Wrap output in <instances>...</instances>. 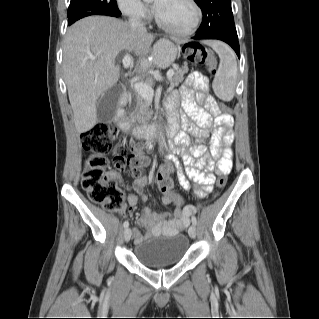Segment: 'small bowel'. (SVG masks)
<instances>
[{
  "mask_svg": "<svg viewBox=\"0 0 319 319\" xmlns=\"http://www.w3.org/2000/svg\"><path fill=\"white\" fill-rule=\"evenodd\" d=\"M180 95L185 113L181 116L178 113V95L169 98L167 110L170 117H175L180 122L182 130L175 136L170 148L171 153L167 156V162L162 166L155 183L159 186V178L162 176L169 179L170 172L176 169L180 186L184 190L192 189L195 197L200 199L211 193L217 175H227L231 171L234 118L230 113L218 112L214 115L210 112V104L214 101L209 95L206 79L198 72L189 74L180 86ZM207 139L208 149L204 145ZM208 151L214 161L207 163ZM179 153L186 163L185 170L181 167ZM213 169L215 173H212ZM111 175L120 184H124L119 174L112 172ZM189 179L195 182L193 186ZM147 183L146 178H139L126 185L130 191L127 197L130 208L137 204L138 198L142 202L148 200L145 193ZM162 200L165 204L175 206L174 218H168L166 213L156 212L151 206H146L137 224L144 227L148 234H175L188 227L190 217L196 211L195 206H183L182 197L170 189L164 191ZM131 231L135 242H141L143 237L139 230L132 228Z\"/></svg>",
  "mask_w": 319,
  "mask_h": 319,
  "instance_id": "obj_1",
  "label": "small bowel"
}]
</instances>
